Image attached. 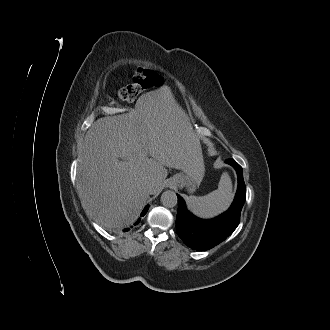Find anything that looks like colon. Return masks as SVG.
Masks as SVG:
<instances>
[{
    "instance_id": "obj_1",
    "label": "colon",
    "mask_w": 330,
    "mask_h": 330,
    "mask_svg": "<svg viewBox=\"0 0 330 330\" xmlns=\"http://www.w3.org/2000/svg\"><path fill=\"white\" fill-rule=\"evenodd\" d=\"M161 82V76L154 70L148 68H139L130 84L122 86L117 96L123 101L133 100L140 92L158 85Z\"/></svg>"
}]
</instances>
